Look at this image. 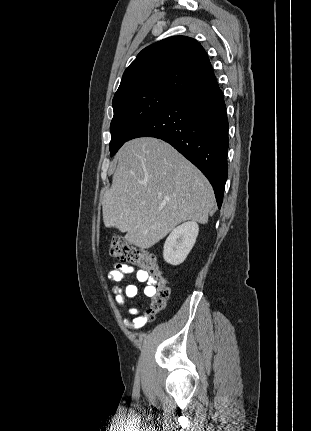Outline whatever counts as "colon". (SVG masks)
Masks as SVG:
<instances>
[{
	"label": "colon",
	"instance_id": "colon-1",
	"mask_svg": "<svg viewBox=\"0 0 311 431\" xmlns=\"http://www.w3.org/2000/svg\"><path fill=\"white\" fill-rule=\"evenodd\" d=\"M110 253L121 262L137 265L150 275L154 292L146 312L148 318L153 319L165 308L170 294L168 281L160 270L155 255L148 250H142L127 243L120 236L112 238Z\"/></svg>",
	"mask_w": 311,
	"mask_h": 431
}]
</instances>
